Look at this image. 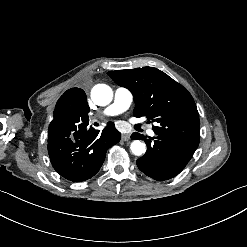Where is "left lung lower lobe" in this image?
Instances as JSON below:
<instances>
[{"mask_svg":"<svg viewBox=\"0 0 247 247\" xmlns=\"http://www.w3.org/2000/svg\"><path fill=\"white\" fill-rule=\"evenodd\" d=\"M131 138L146 142L147 152L137 160V166L144 174L158 181L168 180L178 175L197 149L169 136L157 135L145 139L143 135L134 133Z\"/></svg>","mask_w":247,"mask_h":247,"instance_id":"1","label":"left lung lower lobe"}]
</instances>
